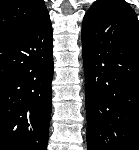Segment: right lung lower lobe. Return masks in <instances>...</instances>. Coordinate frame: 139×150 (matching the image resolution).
<instances>
[{
    "mask_svg": "<svg viewBox=\"0 0 139 150\" xmlns=\"http://www.w3.org/2000/svg\"><path fill=\"white\" fill-rule=\"evenodd\" d=\"M52 47L48 12L31 27L0 39V150H46Z\"/></svg>",
    "mask_w": 139,
    "mask_h": 150,
    "instance_id": "obj_1",
    "label": "right lung lower lobe"
}]
</instances>
